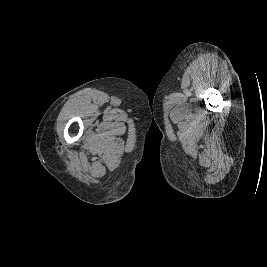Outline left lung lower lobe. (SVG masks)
Here are the masks:
<instances>
[{
	"label": "left lung lower lobe",
	"instance_id": "left-lung-lower-lobe-1",
	"mask_svg": "<svg viewBox=\"0 0 267 267\" xmlns=\"http://www.w3.org/2000/svg\"><path fill=\"white\" fill-rule=\"evenodd\" d=\"M158 153H159V148L158 147H154L152 153H151V157L153 159H158Z\"/></svg>",
	"mask_w": 267,
	"mask_h": 267
}]
</instances>
